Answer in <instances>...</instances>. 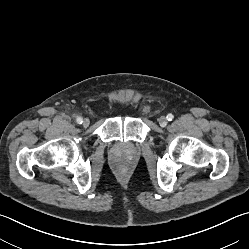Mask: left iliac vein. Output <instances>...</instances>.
<instances>
[{
  "label": "left iliac vein",
  "instance_id": "obj_1",
  "mask_svg": "<svg viewBox=\"0 0 249 249\" xmlns=\"http://www.w3.org/2000/svg\"><path fill=\"white\" fill-rule=\"evenodd\" d=\"M158 123L160 126L162 127H165L168 123V120L165 116H161L159 119H158Z\"/></svg>",
  "mask_w": 249,
  "mask_h": 249
}]
</instances>
